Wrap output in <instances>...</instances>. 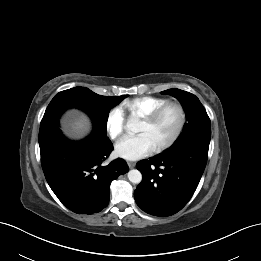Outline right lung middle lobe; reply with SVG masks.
Instances as JSON below:
<instances>
[{
    "instance_id": "obj_1",
    "label": "right lung middle lobe",
    "mask_w": 261,
    "mask_h": 261,
    "mask_svg": "<svg viewBox=\"0 0 261 261\" xmlns=\"http://www.w3.org/2000/svg\"><path fill=\"white\" fill-rule=\"evenodd\" d=\"M128 95L118 97L101 96L86 87H75L59 92L48 105L40 126L58 122L60 115L70 107L79 108L91 117L94 131L106 136L110 110Z\"/></svg>"
}]
</instances>
